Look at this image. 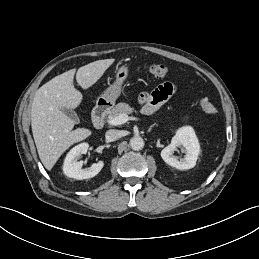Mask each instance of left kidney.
<instances>
[{
    "mask_svg": "<svg viewBox=\"0 0 259 259\" xmlns=\"http://www.w3.org/2000/svg\"><path fill=\"white\" fill-rule=\"evenodd\" d=\"M178 147L185 152L184 158L180 160L173 154ZM199 153L200 144L193 128L185 126L177 130L171 143L161 151V157L168 165L179 170H187L196 165Z\"/></svg>",
    "mask_w": 259,
    "mask_h": 259,
    "instance_id": "5707ae66",
    "label": "left kidney"
}]
</instances>
